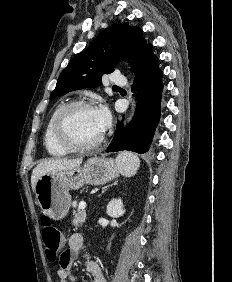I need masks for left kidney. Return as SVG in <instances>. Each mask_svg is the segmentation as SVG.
Returning <instances> with one entry per match:
<instances>
[{
    "instance_id": "1",
    "label": "left kidney",
    "mask_w": 232,
    "mask_h": 282,
    "mask_svg": "<svg viewBox=\"0 0 232 282\" xmlns=\"http://www.w3.org/2000/svg\"><path fill=\"white\" fill-rule=\"evenodd\" d=\"M123 203L121 199H113L107 205V214L118 218L124 214Z\"/></svg>"
}]
</instances>
